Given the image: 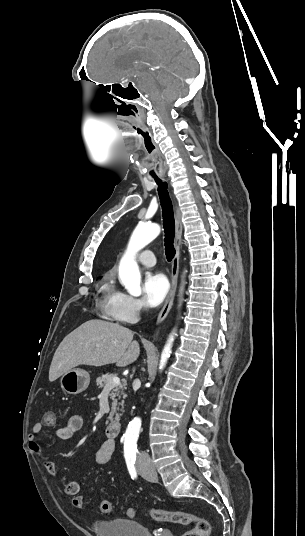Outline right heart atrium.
<instances>
[{
  "mask_svg": "<svg viewBox=\"0 0 305 536\" xmlns=\"http://www.w3.org/2000/svg\"><path fill=\"white\" fill-rule=\"evenodd\" d=\"M145 310L146 305L142 300L122 291H116L106 312L116 321L129 324L137 320Z\"/></svg>",
  "mask_w": 305,
  "mask_h": 536,
  "instance_id": "obj_1",
  "label": "right heart atrium"
}]
</instances>
